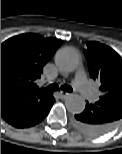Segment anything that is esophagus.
Listing matches in <instances>:
<instances>
[{
  "instance_id": "obj_1",
  "label": "esophagus",
  "mask_w": 122,
  "mask_h": 154,
  "mask_svg": "<svg viewBox=\"0 0 122 154\" xmlns=\"http://www.w3.org/2000/svg\"><path fill=\"white\" fill-rule=\"evenodd\" d=\"M68 95H69V93H67V92H64V91L59 92L60 98H66Z\"/></svg>"
}]
</instances>
